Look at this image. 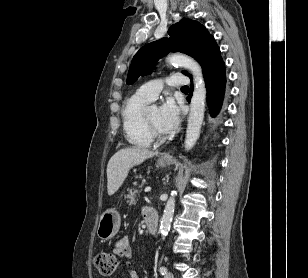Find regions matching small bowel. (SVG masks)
Segmentation results:
<instances>
[{
    "mask_svg": "<svg viewBox=\"0 0 308 278\" xmlns=\"http://www.w3.org/2000/svg\"><path fill=\"white\" fill-rule=\"evenodd\" d=\"M150 209H145L144 213ZM113 253L119 257L126 259H133V252L127 237L121 238L113 247ZM128 278H139L137 273L133 270L128 271Z\"/></svg>",
    "mask_w": 308,
    "mask_h": 278,
    "instance_id": "c3829d8e",
    "label": "small bowel"
}]
</instances>
